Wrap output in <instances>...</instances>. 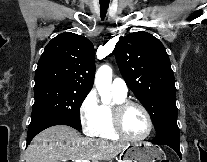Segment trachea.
Returning <instances> with one entry per match:
<instances>
[{"mask_svg":"<svg viewBox=\"0 0 207 162\" xmlns=\"http://www.w3.org/2000/svg\"><path fill=\"white\" fill-rule=\"evenodd\" d=\"M110 0H100V13L103 20L106 16Z\"/></svg>","mask_w":207,"mask_h":162,"instance_id":"3493384b","label":"trachea"}]
</instances>
